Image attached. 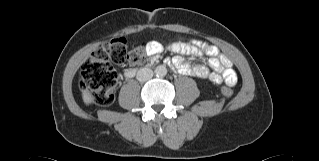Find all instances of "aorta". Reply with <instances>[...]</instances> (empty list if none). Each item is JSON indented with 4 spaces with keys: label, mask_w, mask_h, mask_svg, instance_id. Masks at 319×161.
Segmentation results:
<instances>
[{
    "label": "aorta",
    "mask_w": 319,
    "mask_h": 161,
    "mask_svg": "<svg viewBox=\"0 0 319 161\" xmlns=\"http://www.w3.org/2000/svg\"><path fill=\"white\" fill-rule=\"evenodd\" d=\"M154 72L158 77H164L167 74V69L164 65H159Z\"/></svg>",
    "instance_id": "762f6f07"
}]
</instances>
